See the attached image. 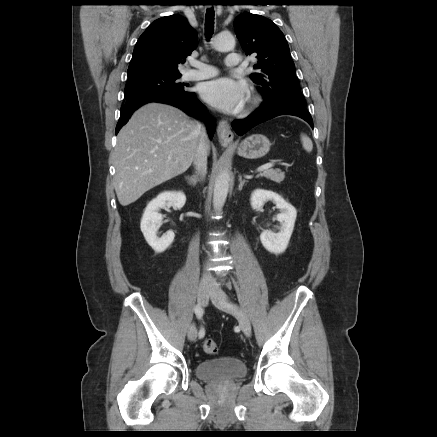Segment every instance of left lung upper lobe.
Listing matches in <instances>:
<instances>
[{
  "label": "left lung upper lobe",
  "mask_w": 437,
  "mask_h": 437,
  "mask_svg": "<svg viewBox=\"0 0 437 437\" xmlns=\"http://www.w3.org/2000/svg\"><path fill=\"white\" fill-rule=\"evenodd\" d=\"M234 29L246 55L255 54L258 59L256 72L250 77L264 98L262 105L289 103L305 107L281 30L270 19L248 12L237 16Z\"/></svg>",
  "instance_id": "left-lung-upper-lobe-1"
}]
</instances>
